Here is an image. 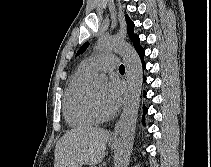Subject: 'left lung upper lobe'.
Here are the masks:
<instances>
[{"label":"left lung upper lobe","instance_id":"5c2ea615","mask_svg":"<svg viewBox=\"0 0 211 167\" xmlns=\"http://www.w3.org/2000/svg\"><path fill=\"white\" fill-rule=\"evenodd\" d=\"M126 17V22H127V33L131 39V41L133 42L134 46H135V49H139V48H142L139 44V36L137 34H134L133 32V27H134V23L130 20V18L128 17V15L125 16ZM89 43H85L80 49L79 51L77 52L76 55H79L81 53H83L86 48L88 47Z\"/></svg>","mask_w":211,"mask_h":167}]
</instances>
